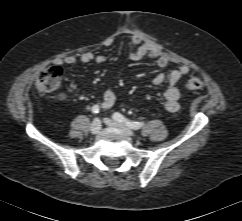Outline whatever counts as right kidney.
Returning <instances> with one entry per match:
<instances>
[{"mask_svg":"<svg viewBox=\"0 0 242 221\" xmlns=\"http://www.w3.org/2000/svg\"><path fill=\"white\" fill-rule=\"evenodd\" d=\"M60 97L63 99V98H65V95L62 93V94H60Z\"/></svg>","mask_w":242,"mask_h":221,"instance_id":"right-kidney-1","label":"right kidney"}]
</instances>
